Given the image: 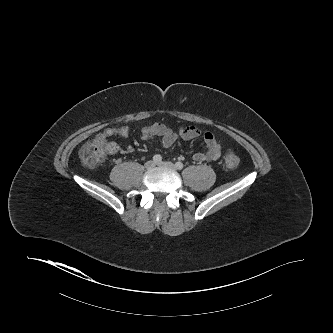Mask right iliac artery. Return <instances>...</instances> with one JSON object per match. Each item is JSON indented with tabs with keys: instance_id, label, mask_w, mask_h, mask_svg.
I'll return each instance as SVG.
<instances>
[{
	"instance_id": "82829eb1",
	"label": "right iliac artery",
	"mask_w": 333,
	"mask_h": 333,
	"mask_svg": "<svg viewBox=\"0 0 333 333\" xmlns=\"http://www.w3.org/2000/svg\"><path fill=\"white\" fill-rule=\"evenodd\" d=\"M153 161H154L155 163H160V162L162 161V156L159 155V154L154 155V156H153Z\"/></svg>"
}]
</instances>
